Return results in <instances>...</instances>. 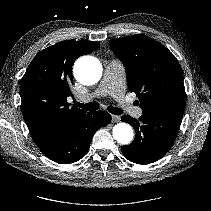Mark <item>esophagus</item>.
Segmentation results:
<instances>
[{
    "label": "esophagus",
    "instance_id": "esophagus-1",
    "mask_svg": "<svg viewBox=\"0 0 211 211\" xmlns=\"http://www.w3.org/2000/svg\"><path fill=\"white\" fill-rule=\"evenodd\" d=\"M120 121V117L116 115H112V122L117 123Z\"/></svg>",
    "mask_w": 211,
    "mask_h": 211
}]
</instances>
